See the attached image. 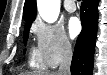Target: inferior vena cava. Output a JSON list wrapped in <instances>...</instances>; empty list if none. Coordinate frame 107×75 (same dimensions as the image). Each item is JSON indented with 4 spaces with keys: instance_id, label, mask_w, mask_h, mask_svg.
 Instances as JSON below:
<instances>
[{
    "instance_id": "1",
    "label": "inferior vena cava",
    "mask_w": 107,
    "mask_h": 75,
    "mask_svg": "<svg viewBox=\"0 0 107 75\" xmlns=\"http://www.w3.org/2000/svg\"><path fill=\"white\" fill-rule=\"evenodd\" d=\"M72 48L69 43H66L63 47L60 66L57 71V75H70V66L72 61Z\"/></svg>"
}]
</instances>
